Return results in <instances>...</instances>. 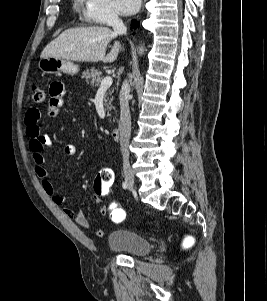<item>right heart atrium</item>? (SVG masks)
<instances>
[{"label":"right heart atrium","instance_id":"right-heart-atrium-1","mask_svg":"<svg viewBox=\"0 0 267 301\" xmlns=\"http://www.w3.org/2000/svg\"><path fill=\"white\" fill-rule=\"evenodd\" d=\"M84 1L83 17L89 24L109 25L119 20V15L112 0Z\"/></svg>","mask_w":267,"mask_h":301}]
</instances>
